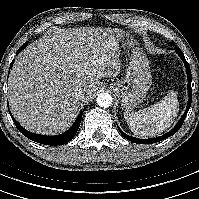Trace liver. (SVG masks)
<instances>
[{"label":"liver","instance_id":"6515ba94","mask_svg":"<svg viewBox=\"0 0 199 199\" xmlns=\"http://www.w3.org/2000/svg\"><path fill=\"white\" fill-rule=\"evenodd\" d=\"M118 28L58 29L33 42L16 58L8 81L10 110L27 130L60 134L81 105L94 96L99 80L120 73ZM76 89L84 97L73 96Z\"/></svg>","mask_w":199,"mask_h":199}]
</instances>
